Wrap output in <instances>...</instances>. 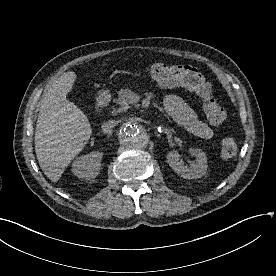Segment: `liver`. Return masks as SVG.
<instances>
[{
	"label": "liver",
	"mask_w": 276,
	"mask_h": 276,
	"mask_svg": "<svg viewBox=\"0 0 276 276\" xmlns=\"http://www.w3.org/2000/svg\"><path fill=\"white\" fill-rule=\"evenodd\" d=\"M75 80V72L63 73L44 90L40 101L35 151L40 168L52 182L60 179L92 135L87 116L67 99Z\"/></svg>",
	"instance_id": "1"
}]
</instances>
